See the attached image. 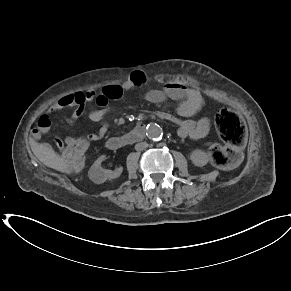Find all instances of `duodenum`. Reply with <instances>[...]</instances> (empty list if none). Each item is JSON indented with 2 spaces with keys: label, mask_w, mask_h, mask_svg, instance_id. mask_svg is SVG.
Here are the masks:
<instances>
[{
  "label": "duodenum",
  "mask_w": 291,
  "mask_h": 291,
  "mask_svg": "<svg viewBox=\"0 0 291 291\" xmlns=\"http://www.w3.org/2000/svg\"><path fill=\"white\" fill-rule=\"evenodd\" d=\"M160 113V112H158ZM146 126L143 122L137 124L132 131L129 133L112 137L106 141V147L110 150H118L123 147H126L130 144H133L142 139L145 134Z\"/></svg>",
  "instance_id": "duodenum-1"
}]
</instances>
